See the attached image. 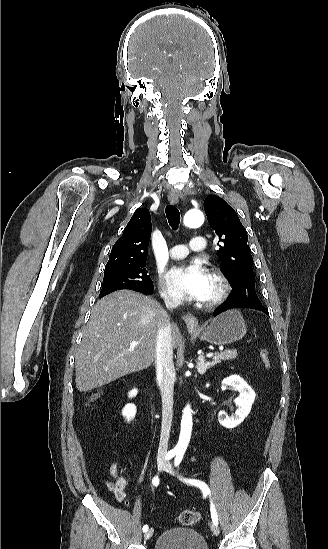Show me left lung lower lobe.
I'll list each match as a JSON object with an SVG mask.
<instances>
[{
	"label": "left lung lower lobe",
	"instance_id": "1",
	"mask_svg": "<svg viewBox=\"0 0 328 549\" xmlns=\"http://www.w3.org/2000/svg\"><path fill=\"white\" fill-rule=\"evenodd\" d=\"M234 308H251V309L262 311L267 315H269L268 309L262 306L260 300L246 301L241 299H229L225 304H223L222 306H220L214 311V316H217L223 313L224 311H227L229 309H234Z\"/></svg>",
	"mask_w": 328,
	"mask_h": 549
}]
</instances>
